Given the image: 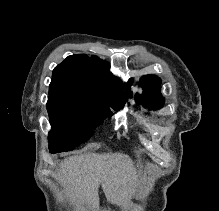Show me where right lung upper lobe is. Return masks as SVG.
Segmentation results:
<instances>
[{
    "label": "right lung upper lobe",
    "mask_w": 219,
    "mask_h": 211,
    "mask_svg": "<svg viewBox=\"0 0 219 211\" xmlns=\"http://www.w3.org/2000/svg\"><path fill=\"white\" fill-rule=\"evenodd\" d=\"M110 65L96 56H68L53 70L48 99L122 106L121 81L109 73Z\"/></svg>",
    "instance_id": "obj_1"
}]
</instances>
